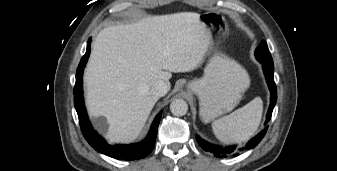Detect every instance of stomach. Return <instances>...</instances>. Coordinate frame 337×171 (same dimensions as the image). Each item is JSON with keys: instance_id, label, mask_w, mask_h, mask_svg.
I'll use <instances>...</instances> for the list:
<instances>
[{"instance_id": "0dacf381", "label": "stomach", "mask_w": 337, "mask_h": 171, "mask_svg": "<svg viewBox=\"0 0 337 171\" xmlns=\"http://www.w3.org/2000/svg\"><path fill=\"white\" fill-rule=\"evenodd\" d=\"M201 22L218 36L229 33L228 24L218 13H206L200 16ZM250 78L246 70L236 61L215 54L200 79L188 82L187 89L199 99V115L203 122L209 123L215 118L232 111L248 89Z\"/></svg>"}]
</instances>
